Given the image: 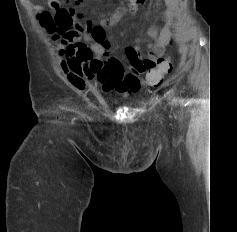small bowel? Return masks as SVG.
Here are the masks:
<instances>
[{
    "label": "small bowel",
    "mask_w": 237,
    "mask_h": 232,
    "mask_svg": "<svg viewBox=\"0 0 237 232\" xmlns=\"http://www.w3.org/2000/svg\"><path fill=\"white\" fill-rule=\"evenodd\" d=\"M162 1L166 4L162 26L152 27L145 35V55L137 48H127L129 66L126 72L121 61L111 54V45L102 27L85 34L83 40L78 36L66 40L58 49V60L68 81L77 89H84L86 82H93L100 84L104 91L124 95L139 91L143 85L141 76L154 69L164 53L177 11L178 0ZM116 20L117 16L108 15L103 19V24L110 26Z\"/></svg>",
    "instance_id": "1"
}]
</instances>
